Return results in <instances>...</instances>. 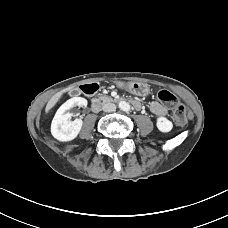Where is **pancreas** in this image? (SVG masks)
<instances>
[{"label": "pancreas", "mask_w": 228, "mask_h": 228, "mask_svg": "<svg viewBox=\"0 0 228 228\" xmlns=\"http://www.w3.org/2000/svg\"><path fill=\"white\" fill-rule=\"evenodd\" d=\"M99 100L103 101V103H106V102L112 101L113 99L111 97H108V96H100Z\"/></svg>", "instance_id": "obj_1"}]
</instances>
